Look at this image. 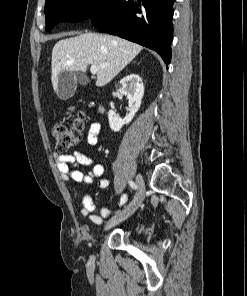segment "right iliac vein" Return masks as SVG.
I'll use <instances>...</instances> for the list:
<instances>
[{"instance_id": "63e3f726", "label": "right iliac vein", "mask_w": 247, "mask_h": 296, "mask_svg": "<svg viewBox=\"0 0 247 296\" xmlns=\"http://www.w3.org/2000/svg\"><path fill=\"white\" fill-rule=\"evenodd\" d=\"M136 183L138 185V192L131 202V204L122 212L113 216L105 225V230L110 229L111 227L119 224L120 222L124 221L128 217H130L141 205L144 200L145 194V183L140 174L136 176Z\"/></svg>"}]
</instances>
